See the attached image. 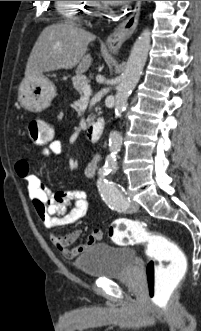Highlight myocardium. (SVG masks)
Segmentation results:
<instances>
[{
  "label": "myocardium",
  "instance_id": "obj_1",
  "mask_svg": "<svg viewBox=\"0 0 201 331\" xmlns=\"http://www.w3.org/2000/svg\"><path fill=\"white\" fill-rule=\"evenodd\" d=\"M101 11L100 10H97L94 12V14H99Z\"/></svg>",
  "mask_w": 201,
  "mask_h": 331
}]
</instances>
